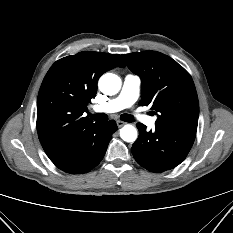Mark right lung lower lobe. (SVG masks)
Instances as JSON below:
<instances>
[{"mask_svg": "<svg viewBox=\"0 0 233 233\" xmlns=\"http://www.w3.org/2000/svg\"><path fill=\"white\" fill-rule=\"evenodd\" d=\"M117 130L114 120L99 123L91 136L90 146L87 153L72 160L50 159L60 170L70 174H81L88 172L97 166L104 157L112 134Z\"/></svg>", "mask_w": 233, "mask_h": 233, "instance_id": "98d812e1", "label": "right lung lower lobe"}]
</instances>
